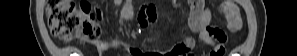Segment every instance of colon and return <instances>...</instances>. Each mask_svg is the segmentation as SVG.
I'll return each mask as SVG.
<instances>
[{"mask_svg": "<svg viewBox=\"0 0 297 56\" xmlns=\"http://www.w3.org/2000/svg\"><path fill=\"white\" fill-rule=\"evenodd\" d=\"M219 11L231 14L234 19L232 31L241 28V19L237 10L228 2H221ZM47 19L53 36L63 42L79 38L95 46L104 45L100 25L101 13L88 2L77 4L73 0H49L47 3ZM222 50L212 52L211 56H222Z\"/></svg>", "mask_w": 297, "mask_h": 56, "instance_id": "obj_1", "label": "colon"}]
</instances>
